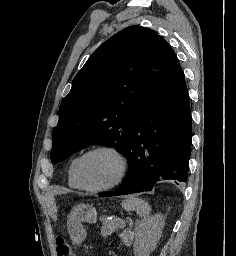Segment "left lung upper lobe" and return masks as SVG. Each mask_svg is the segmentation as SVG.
Wrapping results in <instances>:
<instances>
[{"label":"left lung upper lobe","mask_w":236,"mask_h":256,"mask_svg":"<svg viewBox=\"0 0 236 256\" xmlns=\"http://www.w3.org/2000/svg\"><path fill=\"white\" fill-rule=\"evenodd\" d=\"M184 77L170 45L137 25L99 46L78 72L59 108L51 162L91 144L125 154L138 117Z\"/></svg>","instance_id":"left-lung-upper-lobe-1"}]
</instances>
